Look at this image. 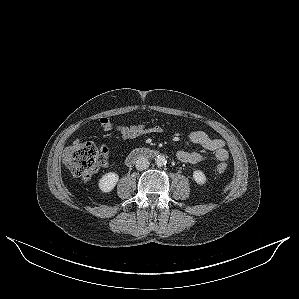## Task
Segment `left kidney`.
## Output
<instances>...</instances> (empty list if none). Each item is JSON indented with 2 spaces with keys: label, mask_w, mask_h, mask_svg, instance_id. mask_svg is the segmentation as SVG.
I'll use <instances>...</instances> for the list:
<instances>
[{
  "label": "left kidney",
  "mask_w": 299,
  "mask_h": 299,
  "mask_svg": "<svg viewBox=\"0 0 299 299\" xmlns=\"http://www.w3.org/2000/svg\"><path fill=\"white\" fill-rule=\"evenodd\" d=\"M193 179L195 180V182L197 184H204L206 182V176L204 174V172H202L201 170H195L193 172Z\"/></svg>",
  "instance_id": "5707ae66"
}]
</instances>
